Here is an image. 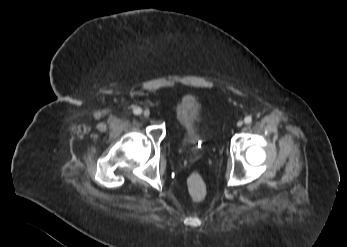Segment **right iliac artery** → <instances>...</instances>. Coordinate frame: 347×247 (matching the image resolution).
Masks as SVG:
<instances>
[{
	"mask_svg": "<svg viewBox=\"0 0 347 247\" xmlns=\"http://www.w3.org/2000/svg\"><path fill=\"white\" fill-rule=\"evenodd\" d=\"M141 112H142V109L140 107H136L133 109V113L135 115H139V114H141Z\"/></svg>",
	"mask_w": 347,
	"mask_h": 247,
	"instance_id": "82829eb1",
	"label": "right iliac artery"
}]
</instances>
